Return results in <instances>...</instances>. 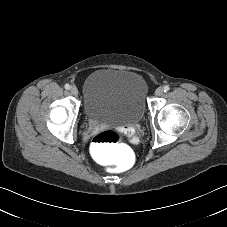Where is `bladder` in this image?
Returning a JSON list of instances; mask_svg holds the SVG:
<instances>
[{
  "label": "bladder",
  "mask_w": 227,
  "mask_h": 227,
  "mask_svg": "<svg viewBox=\"0 0 227 227\" xmlns=\"http://www.w3.org/2000/svg\"><path fill=\"white\" fill-rule=\"evenodd\" d=\"M146 92V83L136 72L95 70L84 81V111L97 122L137 124L144 117Z\"/></svg>",
  "instance_id": "1"
}]
</instances>
